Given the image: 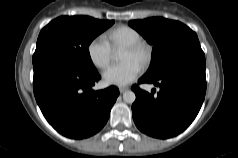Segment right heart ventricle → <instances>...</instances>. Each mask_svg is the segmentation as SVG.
Instances as JSON below:
<instances>
[{"instance_id": "e07e8e85", "label": "right heart ventricle", "mask_w": 238, "mask_h": 158, "mask_svg": "<svg viewBox=\"0 0 238 158\" xmlns=\"http://www.w3.org/2000/svg\"><path fill=\"white\" fill-rule=\"evenodd\" d=\"M106 40L113 49H118L142 41V36L132 27L119 26L106 33Z\"/></svg>"}]
</instances>
